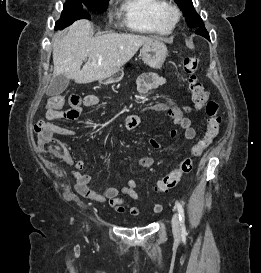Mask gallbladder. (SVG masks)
I'll use <instances>...</instances> for the list:
<instances>
[{
  "label": "gallbladder",
  "instance_id": "gallbladder-1",
  "mask_svg": "<svg viewBox=\"0 0 261 273\" xmlns=\"http://www.w3.org/2000/svg\"><path fill=\"white\" fill-rule=\"evenodd\" d=\"M69 85V79L65 75L53 77L46 91L48 96H57L65 91Z\"/></svg>",
  "mask_w": 261,
  "mask_h": 273
}]
</instances>
